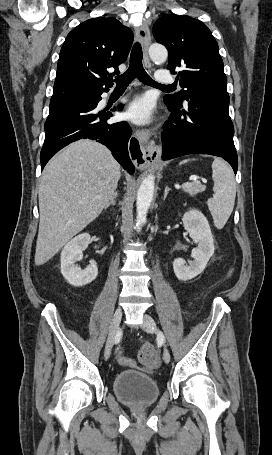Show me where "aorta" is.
Listing matches in <instances>:
<instances>
[{"instance_id":"obj_1","label":"aorta","mask_w":272,"mask_h":455,"mask_svg":"<svg viewBox=\"0 0 272 455\" xmlns=\"http://www.w3.org/2000/svg\"><path fill=\"white\" fill-rule=\"evenodd\" d=\"M149 55L153 62L164 63L168 57L167 49L160 44H153L149 48ZM155 176L148 175L141 183L136 201V229L140 231L146 222V216L153 199Z\"/></svg>"}]
</instances>
